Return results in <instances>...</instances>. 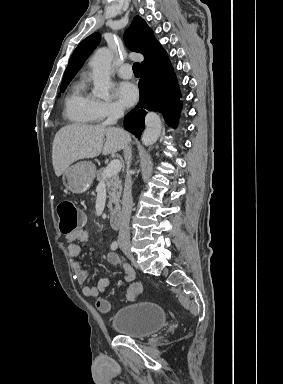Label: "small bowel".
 <instances>
[{
    "mask_svg": "<svg viewBox=\"0 0 283 384\" xmlns=\"http://www.w3.org/2000/svg\"><path fill=\"white\" fill-rule=\"evenodd\" d=\"M66 240L68 243V246H67L68 253L74 263L75 278L80 285H83V288H82L83 295L87 298L99 297L110 285V280L108 278H102L94 286L86 285L89 278V273L82 266L79 258L81 254L80 243L87 244V245L89 244L88 232L83 227H80L77 230L67 234ZM107 261L111 265H121L123 267L124 273H125L124 278L126 281L131 282L134 280L135 272L133 268L129 264L123 263L116 253L114 252L108 253ZM133 284H138L141 287V284L139 283L135 282Z\"/></svg>",
    "mask_w": 283,
    "mask_h": 384,
    "instance_id": "1",
    "label": "small bowel"
}]
</instances>
